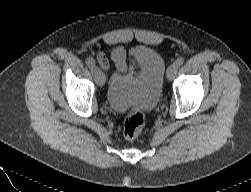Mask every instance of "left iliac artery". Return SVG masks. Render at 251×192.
Wrapping results in <instances>:
<instances>
[{
    "label": "left iliac artery",
    "mask_w": 251,
    "mask_h": 192,
    "mask_svg": "<svg viewBox=\"0 0 251 192\" xmlns=\"http://www.w3.org/2000/svg\"><path fill=\"white\" fill-rule=\"evenodd\" d=\"M184 63V58L183 57H179L177 58V60L175 61V64L177 66H181Z\"/></svg>",
    "instance_id": "left-iliac-artery-1"
}]
</instances>
